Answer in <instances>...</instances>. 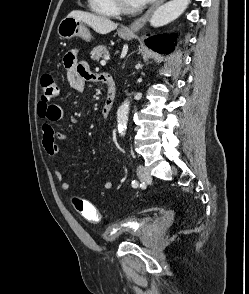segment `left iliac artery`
Here are the masks:
<instances>
[{
	"label": "left iliac artery",
	"mask_w": 249,
	"mask_h": 294,
	"mask_svg": "<svg viewBox=\"0 0 249 294\" xmlns=\"http://www.w3.org/2000/svg\"><path fill=\"white\" fill-rule=\"evenodd\" d=\"M132 186H133V187H137V186H138V182H137V181H135V180H134V181H132Z\"/></svg>",
	"instance_id": "obj_1"
}]
</instances>
